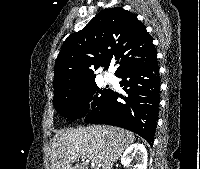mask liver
<instances>
[{
  "label": "liver",
  "mask_w": 200,
  "mask_h": 169,
  "mask_svg": "<svg viewBox=\"0 0 200 169\" xmlns=\"http://www.w3.org/2000/svg\"><path fill=\"white\" fill-rule=\"evenodd\" d=\"M134 140L132 132L113 126L94 125L58 131L52 140L51 169H88L85 159L100 162L102 169H112ZM75 162L78 163L73 166Z\"/></svg>",
  "instance_id": "1"
}]
</instances>
